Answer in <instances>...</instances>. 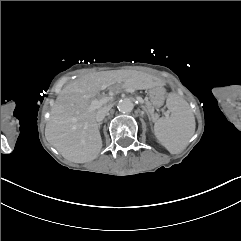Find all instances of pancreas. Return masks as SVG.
Segmentation results:
<instances>
[{"label":"pancreas","instance_id":"cf45deb5","mask_svg":"<svg viewBox=\"0 0 241 241\" xmlns=\"http://www.w3.org/2000/svg\"><path fill=\"white\" fill-rule=\"evenodd\" d=\"M143 108L146 109L149 113H153V111H154V109L151 106H149L148 104H146Z\"/></svg>","mask_w":241,"mask_h":241}]
</instances>
